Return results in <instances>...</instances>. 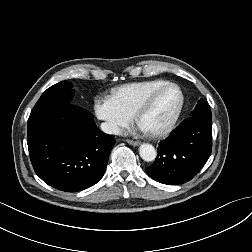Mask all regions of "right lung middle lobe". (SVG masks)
Returning <instances> with one entry per match:
<instances>
[{"mask_svg": "<svg viewBox=\"0 0 252 252\" xmlns=\"http://www.w3.org/2000/svg\"><path fill=\"white\" fill-rule=\"evenodd\" d=\"M72 87V83L62 81L48 88L35 104L30 117L36 116L51 107L62 106L70 103L74 95Z\"/></svg>", "mask_w": 252, "mask_h": 252, "instance_id": "obj_1", "label": "right lung middle lobe"}]
</instances>
